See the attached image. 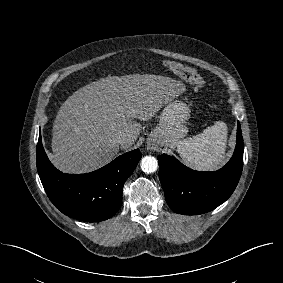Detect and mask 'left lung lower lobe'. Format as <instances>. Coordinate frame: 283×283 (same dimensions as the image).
<instances>
[{
  "mask_svg": "<svg viewBox=\"0 0 283 283\" xmlns=\"http://www.w3.org/2000/svg\"><path fill=\"white\" fill-rule=\"evenodd\" d=\"M237 144L229 162L214 172L187 168L173 156L157 157L159 179L166 202L178 214L198 215L212 211L225 202L235 190L243 168V137L237 127Z\"/></svg>",
  "mask_w": 283,
  "mask_h": 283,
  "instance_id": "1",
  "label": "left lung lower lobe"
}]
</instances>
